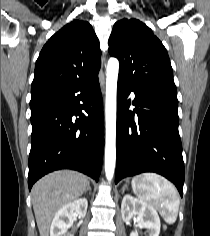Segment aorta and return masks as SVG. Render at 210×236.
Here are the masks:
<instances>
[{"label": "aorta", "mask_w": 210, "mask_h": 236, "mask_svg": "<svg viewBox=\"0 0 210 236\" xmlns=\"http://www.w3.org/2000/svg\"><path fill=\"white\" fill-rule=\"evenodd\" d=\"M119 61L111 57L107 65L106 78V143H105V174L111 180L116 164V101Z\"/></svg>", "instance_id": "1"}]
</instances>
